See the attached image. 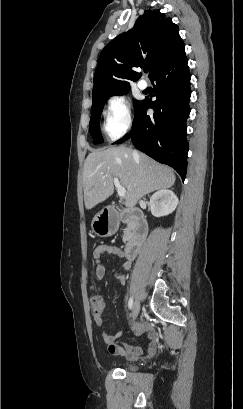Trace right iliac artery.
I'll return each instance as SVG.
<instances>
[{"label": "right iliac artery", "mask_w": 243, "mask_h": 409, "mask_svg": "<svg viewBox=\"0 0 243 409\" xmlns=\"http://www.w3.org/2000/svg\"><path fill=\"white\" fill-rule=\"evenodd\" d=\"M132 306H133V298L131 297V298L129 299V302H128V307H129V309H132Z\"/></svg>", "instance_id": "82829eb1"}]
</instances>
